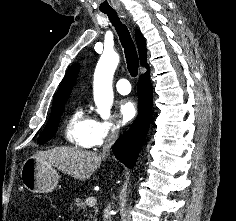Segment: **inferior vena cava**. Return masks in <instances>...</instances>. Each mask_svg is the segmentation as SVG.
I'll list each match as a JSON object with an SVG mask.
<instances>
[{"instance_id": "602c4592", "label": "inferior vena cava", "mask_w": 236, "mask_h": 221, "mask_svg": "<svg viewBox=\"0 0 236 221\" xmlns=\"http://www.w3.org/2000/svg\"><path fill=\"white\" fill-rule=\"evenodd\" d=\"M118 134H119L118 130L114 129L109 133V135L105 139L103 150H102L104 156L110 154L111 148L114 142L116 141V139L118 138ZM109 210H110V206H108V208L104 212L103 221H112V217L109 214Z\"/></svg>"}]
</instances>
